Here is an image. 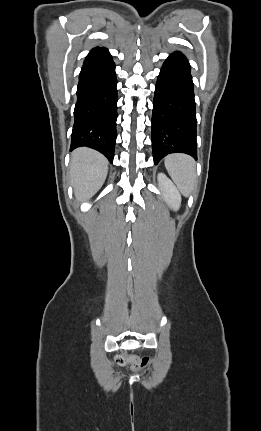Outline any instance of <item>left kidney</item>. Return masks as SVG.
<instances>
[{"instance_id":"left-kidney-1","label":"left kidney","mask_w":261,"mask_h":431,"mask_svg":"<svg viewBox=\"0 0 261 431\" xmlns=\"http://www.w3.org/2000/svg\"><path fill=\"white\" fill-rule=\"evenodd\" d=\"M159 187L163 191L164 200L173 209L178 210L181 204V196L172 182L163 173L158 174Z\"/></svg>"}]
</instances>
